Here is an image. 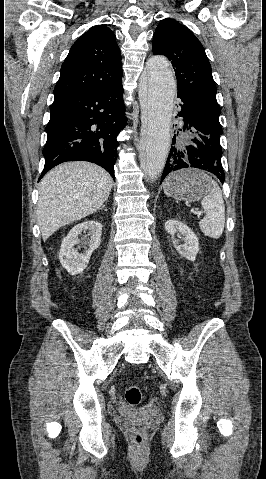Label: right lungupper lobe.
I'll return each instance as SVG.
<instances>
[{"label": "right lung upper lobe", "mask_w": 266, "mask_h": 479, "mask_svg": "<svg viewBox=\"0 0 266 479\" xmlns=\"http://www.w3.org/2000/svg\"><path fill=\"white\" fill-rule=\"evenodd\" d=\"M122 78L121 52L114 33L97 25L71 47L61 67L54 96L117 84Z\"/></svg>", "instance_id": "1"}]
</instances>
